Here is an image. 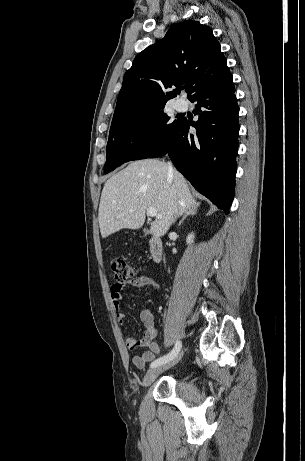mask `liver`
Segmentation results:
<instances>
[{
    "mask_svg": "<svg viewBox=\"0 0 305 461\" xmlns=\"http://www.w3.org/2000/svg\"><path fill=\"white\" fill-rule=\"evenodd\" d=\"M199 206L185 178L176 170L168 175L166 163L146 159L130 163L105 183L99 205L98 221L102 238L123 229H138L145 222L147 208L162 215L151 225L156 237L166 234L175 219L186 209Z\"/></svg>",
    "mask_w": 305,
    "mask_h": 461,
    "instance_id": "1",
    "label": "liver"
}]
</instances>
